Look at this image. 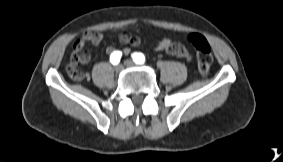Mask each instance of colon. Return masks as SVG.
I'll use <instances>...</instances> for the list:
<instances>
[{
    "instance_id": "5ec220e1",
    "label": "colon",
    "mask_w": 283,
    "mask_h": 162,
    "mask_svg": "<svg viewBox=\"0 0 283 162\" xmlns=\"http://www.w3.org/2000/svg\"><path fill=\"white\" fill-rule=\"evenodd\" d=\"M187 41L195 48L197 53V66L202 75H207L210 71L213 57L209 42L200 34L191 33L187 36ZM70 76L78 81L86 79L87 75L80 70H71Z\"/></svg>"
}]
</instances>
